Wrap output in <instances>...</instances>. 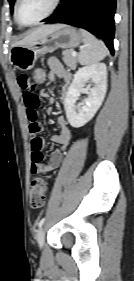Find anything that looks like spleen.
Listing matches in <instances>:
<instances>
[{"label":"spleen","instance_id":"3e777b00","mask_svg":"<svg viewBox=\"0 0 134 281\" xmlns=\"http://www.w3.org/2000/svg\"><path fill=\"white\" fill-rule=\"evenodd\" d=\"M84 46L78 55V61L81 65H91L96 64L103 60L107 54L108 50L103 41L96 39L88 31L80 30Z\"/></svg>","mask_w":134,"mask_h":281}]
</instances>
